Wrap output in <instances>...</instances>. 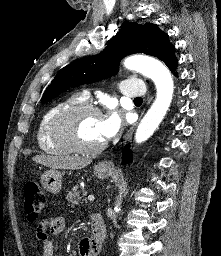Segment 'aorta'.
<instances>
[{
    "mask_svg": "<svg viewBox=\"0 0 221 256\" xmlns=\"http://www.w3.org/2000/svg\"><path fill=\"white\" fill-rule=\"evenodd\" d=\"M124 66L130 70H137L152 79L157 90L155 101L135 133V141L142 143L154 133L166 115L172 101L174 84L168 68L157 60L129 57L124 61Z\"/></svg>",
    "mask_w": 221,
    "mask_h": 256,
    "instance_id": "aorta-1",
    "label": "aorta"
}]
</instances>
